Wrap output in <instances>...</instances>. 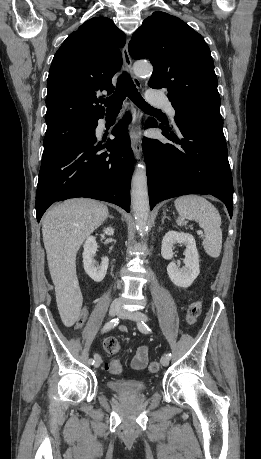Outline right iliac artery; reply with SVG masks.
<instances>
[{
  "instance_id": "obj_1",
  "label": "right iliac artery",
  "mask_w": 261,
  "mask_h": 459,
  "mask_svg": "<svg viewBox=\"0 0 261 459\" xmlns=\"http://www.w3.org/2000/svg\"><path fill=\"white\" fill-rule=\"evenodd\" d=\"M118 323H119V318L112 319L111 321L107 322V323L104 325V327H103V329H102L103 332H106V331L111 330V329L114 328L116 325H118ZM97 356H98V354H95V355H94V359H89L88 362H89L90 364H94L95 359H96Z\"/></svg>"
}]
</instances>
